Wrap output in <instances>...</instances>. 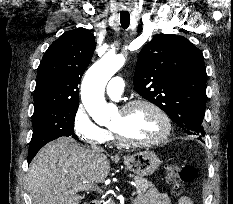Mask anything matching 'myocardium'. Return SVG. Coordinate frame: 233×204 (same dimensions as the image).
<instances>
[{"mask_svg": "<svg viewBox=\"0 0 233 204\" xmlns=\"http://www.w3.org/2000/svg\"><path fill=\"white\" fill-rule=\"evenodd\" d=\"M138 106H145L158 115L164 126L162 133L156 138L148 141H132L124 137L116 129L110 128L113 136L118 141V143L128 147H151L165 141L170 136L172 131V123L168 114L159 105L147 99H134L128 101L127 103L121 106L120 111L126 113Z\"/></svg>", "mask_w": 233, "mask_h": 204, "instance_id": "obj_1", "label": "myocardium"}]
</instances>
